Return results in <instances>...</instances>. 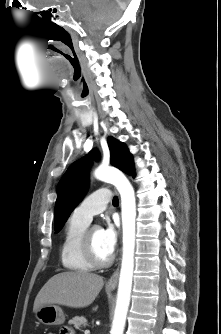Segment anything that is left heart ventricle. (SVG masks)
<instances>
[{
  "instance_id": "b2bd125f",
  "label": "left heart ventricle",
  "mask_w": 221,
  "mask_h": 334,
  "mask_svg": "<svg viewBox=\"0 0 221 334\" xmlns=\"http://www.w3.org/2000/svg\"><path fill=\"white\" fill-rule=\"evenodd\" d=\"M91 234H92V239H93L96 253L98 254L100 258H107L111 254V252H109L103 245L101 230L98 227H95L92 230Z\"/></svg>"
}]
</instances>
